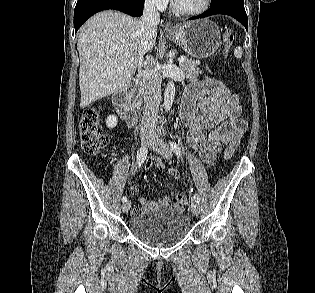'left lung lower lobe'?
<instances>
[{"instance_id":"obj_1","label":"left lung lower lobe","mask_w":315,"mask_h":293,"mask_svg":"<svg viewBox=\"0 0 315 293\" xmlns=\"http://www.w3.org/2000/svg\"><path fill=\"white\" fill-rule=\"evenodd\" d=\"M215 14H224L234 17L238 20L244 27H248V18L244 8V3L236 1H225L221 2L215 6H211L206 12L201 15L192 17L190 19L205 18Z\"/></svg>"}]
</instances>
